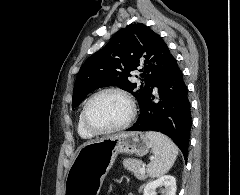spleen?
I'll use <instances>...</instances> for the list:
<instances>
[{
    "label": "spleen",
    "mask_w": 240,
    "mask_h": 195,
    "mask_svg": "<svg viewBox=\"0 0 240 195\" xmlns=\"http://www.w3.org/2000/svg\"><path fill=\"white\" fill-rule=\"evenodd\" d=\"M145 135L153 151V159L148 163L146 171L149 177H161L175 163L179 149L170 137L160 131H146Z\"/></svg>",
    "instance_id": "spleen-1"
}]
</instances>
